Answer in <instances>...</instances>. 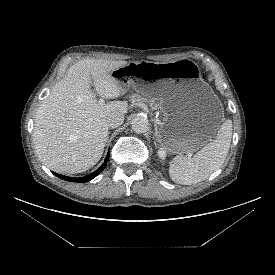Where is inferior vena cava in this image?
Returning a JSON list of instances; mask_svg holds the SVG:
<instances>
[{
	"mask_svg": "<svg viewBox=\"0 0 275 275\" xmlns=\"http://www.w3.org/2000/svg\"><path fill=\"white\" fill-rule=\"evenodd\" d=\"M124 121V115L116 112L112 113L107 117L106 125L110 128H116L120 126Z\"/></svg>",
	"mask_w": 275,
	"mask_h": 275,
	"instance_id": "1",
	"label": "inferior vena cava"
}]
</instances>
